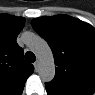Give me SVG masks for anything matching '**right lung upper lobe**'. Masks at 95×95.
I'll use <instances>...</instances> for the list:
<instances>
[{
  "instance_id": "obj_1",
  "label": "right lung upper lobe",
  "mask_w": 95,
  "mask_h": 95,
  "mask_svg": "<svg viewBox=\"0 0 95 95\" xmlns=\"http://www.w3.org/2000/svg\"><path fill=\"white\" fill-rule=\"evenodd\" d=\"M25 19L0 15V95H21L33 65L23 59L24 52L16 38Z\"/></svg>"
}]
</instances>
